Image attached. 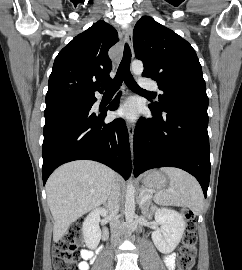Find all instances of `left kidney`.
<instances>
[{
  "instance_id": "obj_1",
  "label": "left kidney",
  "mask_w": 242,
  "mask_h": 270,
  "mask_svg": "<svg viewBox=\"0 0 242 270\" xmlns=\"http://www.w3.org/2000/svg\"><path fill=\"white\" fill-rule=\"evenodd\" d=\"M155 219L160 225V228L152 233L155 246L162 253L173 252L186 228L183 215L175 210L161 208L156 210Z\"/></svg>"
}]
</instances>
